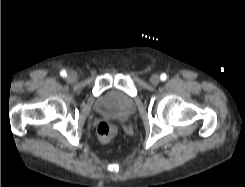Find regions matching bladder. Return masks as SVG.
Segmentation results:
<instances>
[{
	"label": "bladder",
	"instance_id": "31cf9c89",
	"mask_svg": "<svg viewBox=\"0 0 245 187\" xmlns=\"http://www.w3.org/2000/svg\"><path fill=\"white\" fill-rule=\"evenodd\" d=\"M93 109L101 115L128 117L135 110L133 99L122 91L114 90L98 97Z\"/></svg>",
	"mask_w": 245,
	"mask_h": 187
}]
</instances>
